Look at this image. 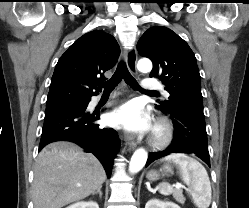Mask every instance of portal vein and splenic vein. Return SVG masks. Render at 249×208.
Masks as SVG:
<instances>
[{
  "mask_svg": "<svg viewBox=\"0 0 249 208\" xmlns=\"http://www.w3.org/2000/svg\"><path fill=\"white\" fill-rule=\"evenodd\" d=\"M173 186L176 187V188H181V187H183V185L180 184V183H176V184H174Z\"/></svg>",
  "mask_w": 249,
  "mask_h": 208,
  "instance_id": "portal-vein-and-splenic-vein-1",
  "label": "portal vein and splenic vein"
}]
</instances>
